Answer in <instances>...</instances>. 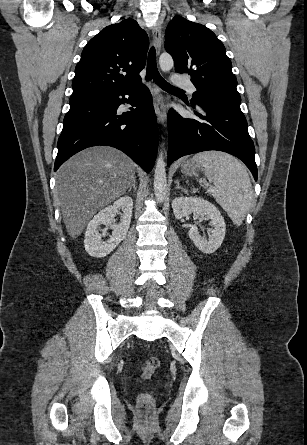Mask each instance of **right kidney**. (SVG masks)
Returning a JSON list of instances; mask_svg holds the SVG:
<instances>
[{"mask_svg":"<svg viewBox=\"0 0 307 445\" xmlns=\"http://www.w3.org/2000/svg\"><path fill=\"white\" fill-rule=\"evenodd\" d=\"M117 208H122L123 210L119 225L114 223V212H116ZM132 210L133 200L131 196H121V198L113 202L112 206H105L103 210L95 214L86 229L84 241L85 251H87L90 257H106L123 241L130 227ZM100 225H106L109 229H113V233L108 241H102L101 237H104V235L99 233Z\"/></svg>","mask_w":307,"mask_h":445,"instance_id":"1","label":"right kidney"}]
</instances>
